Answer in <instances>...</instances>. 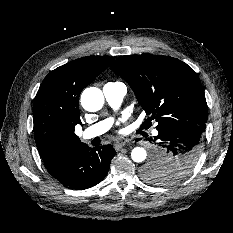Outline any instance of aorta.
<instances>
[{"label":"aorta","instance_id":"1","mask_svg":"<svg viewBox=\"0 0 233 233\" xmlns=\"http://www.w3.org/2000/svg\"><path fill=\"white\" fill-rule=\"evenodd\" d=\"M82 107L90 112L100 110L104 104V96L100 89L96 87L86 88L81 95ZM146 150L142 147H135L131 152V158L136 163H141L146 159Z\"/></svg>","mask_w":233,"mask_h":233}]
</instances>
